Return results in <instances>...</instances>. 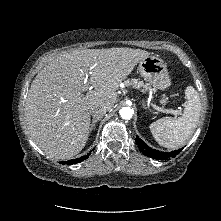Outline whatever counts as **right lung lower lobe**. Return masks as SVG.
<instances>
[{"label":"right lung lower lobe","mask_w":221,"mask_h":221,"mask_svg":"<svg viewBox=\"0 0 221 221\" xmlns=\"http://www.w3.org/2000/svg\"><path fill=\"white\" fill-rule=\"evenodd\" d=\"M88 155H89V154H87L86 156H83V157L74 159V160H69V161L61 162V163H62V164H67V165H72V164L80 163V162H82L83 160L87 159V158H88Z\"/></svg>","instance_id":"obj_1"}]
</instances>
